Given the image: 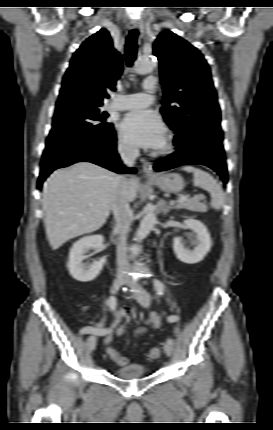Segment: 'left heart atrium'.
Wrapping results in <instances>:
<instances>
[{"label":"left heart atrium","instance_id":"39dd6f15","mask_svg":"<svg viewBox=\"0 0 273 430\" xmlns=\"http://www.w3.org/2000/svg\"><path fill=\"white\" fill-rule=\"evenodd\" d=\"M119 129L125 140L137 147L158 149L165 142V126L150 110L126 114L119 124Z\"/></svg>","mask_w":273,"mask_h":430}]
</instances>
